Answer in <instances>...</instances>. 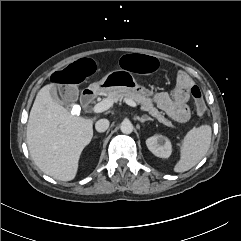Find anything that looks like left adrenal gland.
Instances as JSON below:
<instances>
[{"label":"left adrenal gland","instance_id":"obj_1","mask_svg":"<svg viewBox=\"0 0 241 241\" xmlns=\"http://www.w3.org/2000/svg\"><path fill=\"white\" fill-rule=\"evenodd\" d=\"M137 120L140 121L141 123H144L148 120L153 121V119L148 117L147 115H143L142 117H137Z\"/></svg>","mask_w":241,"mask_h":241}]
</instances>
